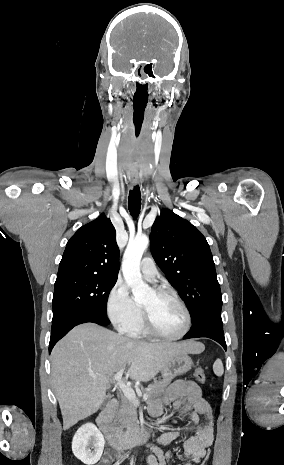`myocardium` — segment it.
Segmentation results:
<instances>
[{
    "mask_svg": "<svg viewBox=\"0 0 284 465\" xmlns=\"http://www.w3.org/2000/svg\"><path fill=\"white\" fill-rule=\"evenodd\" d=\"M154 292L156 296L169 299L180 307V309L182 310L185 316V326H184L183 331L177 336L166 337V336L159 335L154 331L152 327V324H151L152 317L150 313L141 308V314H142L143 321L140 322V326L142 327L144 333L148 335L149 337L157 341H162V342H175V341H179L183 339L188 334L191 328V325H192V317H191L189 309L178 296L174 295L168 290L156 289Z\"/></svg>",
    "mask_w": 284,
    "mask_h": 465,
    "instance_id": "f54148a6",
    "label": "myocardium"
}]
</instances>
